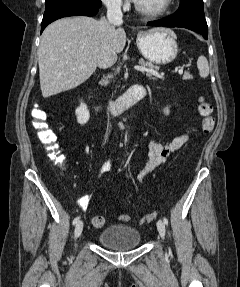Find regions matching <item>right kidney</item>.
<instances>
[{
	"instance_id": "ca27d5eb",
	"label": "right kidney",
	"mask_w": 240,
	"mask_h": 287,
	"mask_svg": "<svg viewBox=\"0 0 240 287\" xmlns=\"http://www.w3.org/2000/svg\"><path fill=\"white\" fill-rule=\"evenodd\" d=\"M75 114L79 124L84 125L89 121L90 113L85 103L81 102L80 106L76 109Z\"/></svg>"
}]
</instances>
